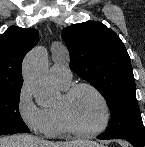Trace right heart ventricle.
<instances>
[{"label":"right heart ventricle","mask_w":145,"mask_h":147,"mask_svg":"<svg viewBox=\"0 0 145 147\" xmlns=\"http://www.w3.org/2000/svg\"><path fill=\"white\" fill-rule=\"evenodd\" d=\"M55 82L62 91H65L70 86V82H67V83L57 82V81ZM43 109L47 117L46 134L52 137L66 134L67 131L60 121V118L56 109V105L46 106V107H43Z\"/></svg>","instance_id":"obj_1"}]
</instances>
